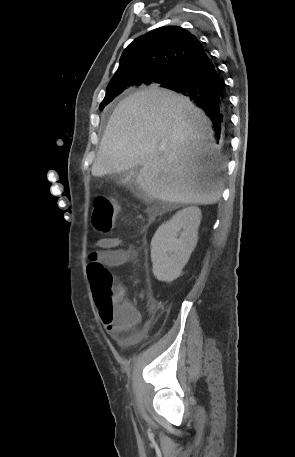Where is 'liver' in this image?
Masks as SVG:
<instances>
[{"label": "liver", "instance_id": "6515ba94", "mask_svg": "<svg viewBox=\"0 0 295 457\" xmlns=\"http://www.w3.org/2000/svg\"><path fill=\"white\" fill-rule=\"evenodd\" d=\"M211 123L189 99L166 89L133 93L114 109L92 175L141 166L136 183L163 202L208 205L222 195Z\"/></svg>", "mask_w": 295, "mask_h": 457}]
</instances>
